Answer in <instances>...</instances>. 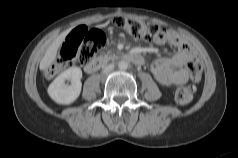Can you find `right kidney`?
<instances>
[{
	"instance_id": "obj_1",
	"label": "right kidney",
	"mask_w": 238,
	"mask_h": 158,
	"mask_svg": "<svg viewBox=\"0 0 238 158\" xmlns=\"http://www.w3.org/2000/svg\"><path fill=\"white\" fill-rule=\"evenodd\" d=\"M82 71L78 67H70L60 75L48 87V94L58 104L68 105L73 103L80 95L82 83ZM71 82L67 85V82Z\"/></svg>"
}]
</instances>
